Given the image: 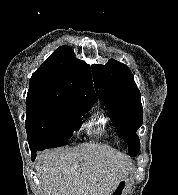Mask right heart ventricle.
Returning a JSON list of instances; mask_svg holds the SVG:
<instances>
[{"mask_svg": "<svg viewBox=\"0 0 178 195\" xmlns=\"http://www.w3.org/2000/svg\"><path fill=\"white\" fill-rule=\"evenodd\" d=\"M87 129L90 134L102 135L107 129V118L104 114H96L87 123Z\"/></svg>", "mask_w": 178, "mask_h": 195, "instance_id": "right-heart-ventricle-1", "label": "right heart ventricle"}]
</instances>
